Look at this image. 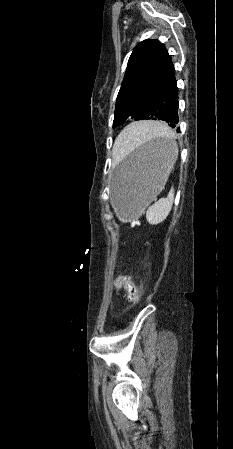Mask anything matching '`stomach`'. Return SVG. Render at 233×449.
<instances>
[{
  "label": "stomach",
  "instance_id": "stomach-1",
  "mask_svg": "<svg viewBox=\"0 0 233 449\" xmlns=\"http://www.w3.org/2000/svg\"><path fill=\"white\" fill-rule=\"evenodd\" d=\"M176 155L174 141L164 137L159 142H149L117 166L112 179V203L121 221L138 218L155 200Z\"/></svg>",
  "mask_w": 233,
  "mask_h": 449
}]
</instances>
